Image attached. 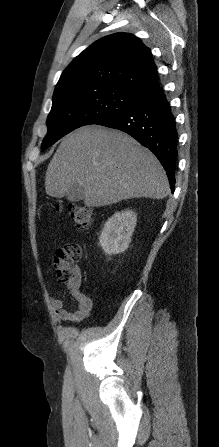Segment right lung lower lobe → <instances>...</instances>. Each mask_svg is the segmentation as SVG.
Wrapping results in <instances>:
<instances>
[{
	"mask_svg": "<svg viewBox=\"0 0 219 447\" xmlns=\"http://www.w3.org/2000/svg\"><path fill=\"white\" fill-rule=\"evenodd\" d=\"M96 124L121 130L151 150L164 167L174 192L178 134L171 106L162 90Z\"/></svg>",
	"mask_w": 219,
	"mask_h": 447,
	"instance_id": "right-lung-lower-lobe-1",
	"label": "right lung lower lobe"
}]
</instances>
